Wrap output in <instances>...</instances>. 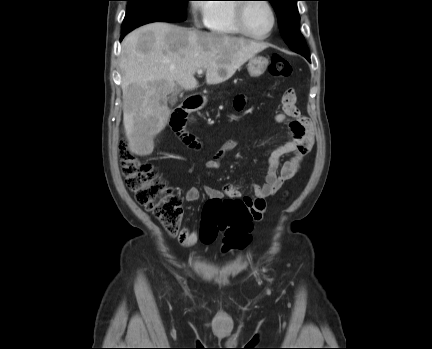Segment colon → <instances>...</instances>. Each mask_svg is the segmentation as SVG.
Here are the masks:
<instances>
[{"instance_id": "colon-1", "label": "colon", "mask_w": 432, "mask_h": 349, "mask_svg": "<svg viewBox=\"0 0 432 349\" xmlns=\"http://www.w3.org/2000/svg\"><path fill=\"white\" fill-rule=\"evenodd\" d=\"M269 72L273 77L287 78L292 67L284 56L274 54ZM119 159L125 183L137 203L151 212L169 234H176L183 215L180 196L167 186L154 165L140 161L131 152L127 141L120 144ZM252 229L253 217L245 201L227 198L206 203L200 230L204 243L213 242L222 232L225 250L242 249L250 243Z\"/></svg>"}]
</instances>
